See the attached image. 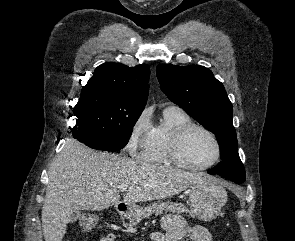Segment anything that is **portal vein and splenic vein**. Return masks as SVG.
Returning <instances> with one entry per match:
<instances>
[{
	"instance_id": "1",
	"label": "portal vein and splenic vein",
	"mask_w": 295,
	"mask_h": 241,
	"mask_svg": "<svg viewBox=\"0 0 295 241\" xmlns=\"http://www.w3.org/2000/svg\"><path fill=\"white\" fill-rule=\"evenodd\" d=\"M118 189H119L121 192H125V191L128 189V185H127V184L120 185V186L118 187Z\"/></svg>"
}]
</instances>
